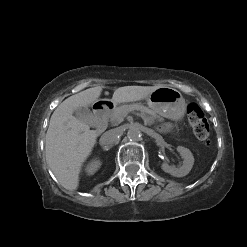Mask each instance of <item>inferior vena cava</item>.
<instances>
[{
	"mask_svg": "<svg viewBox=\"0 0 247 247\" xmlns=\"http://www.w3.org/2000/svg\"><path fill=\"white\" fill-rule=\"evenodd\" d=\"M120 130L119 129H111L106 131L100 138V144L102 146H110L115 140L119 137Z\"/></svg>",
	"mask_w": 247,
	"mask_h": 247,
	"instance_id": "obj_1",
	"label": "inferior vena cava"
}]
</instances>
